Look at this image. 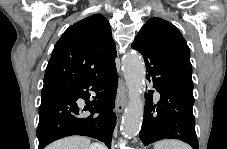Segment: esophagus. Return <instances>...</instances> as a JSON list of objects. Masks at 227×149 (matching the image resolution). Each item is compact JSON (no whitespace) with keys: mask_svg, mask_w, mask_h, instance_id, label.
<instances>
[{"mask_svg":"<svg viewBox=\"0 0 227 149\" xmlns=\"http://www.w3.org/2000/svg\"><path fill=\"white\" fill-rule=\"evenodd\" d=\"M127 105V88L122 80L119 81L117 89L116 110L121 113Z\"/></svg>","mask_w":227,"mask_h":149,"instance_id":"obj_1","label":"esophagus"}]
</instances>
